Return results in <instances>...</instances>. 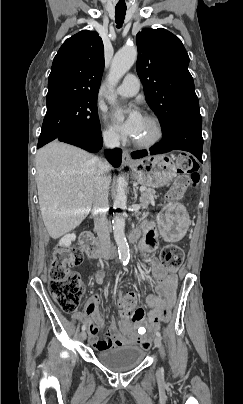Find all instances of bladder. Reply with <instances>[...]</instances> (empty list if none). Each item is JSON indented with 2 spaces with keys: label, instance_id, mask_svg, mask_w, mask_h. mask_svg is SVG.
<instances>
[{
  "label": "bladder",
  "instance_id": "bladder-1",
  "mask_svg": "<svg viewBox=\"0 0 243 404\" xmlns=\"http://www.w3.org/2000/svg\"><path fill=\"white\" fill-rule=\"evenodd\" d=\"M145 351L135 345H125L99 351L96 355L98 362L113 372L133 370L145 359Z\"/></svg>",
  "mask_w": 243,
  "mask_h": 404
}]
</instances>
